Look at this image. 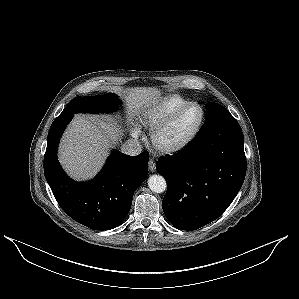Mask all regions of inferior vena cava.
<instances>
[{
  "mask_svg": "<svg viewBox=\"0 0 299 299\" xmlns=\"http://www.w3.org/2000/svg\"><path fill=\"white\" fill-rule=\"evenodd\" d=\"M122 152L127 154V155H131V156H135L141 153L142 151V146L140 145V143L138 141L135 140H127L121 148Z\"/></svg>",
  "mask_w": 299,
  "mask_h": 299,
  "instance_id": "1",
  "label": "inferior vena cava"
}]
</instances>
